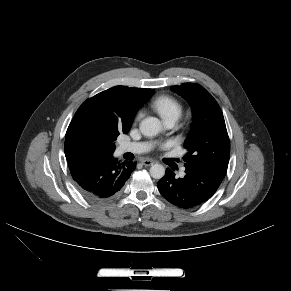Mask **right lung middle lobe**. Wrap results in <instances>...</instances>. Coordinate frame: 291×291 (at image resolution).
I'll list each match as a JSON object with an SVG mask.
<instances>
[{"label":"right lung middle lobe","instance_id":"obj_1","mask_svg":"<svg viewBox=\"0 0 291 291\" xmlns=\"http://www.w3.org/2000/svg\"><path fill=\"white\" fill-rule=\"evenodd\" d=\"M76 136L83 147L90 153H113L119 131L108 125L88 121L75 129Z\"/></svg>","mask_w":291,"mask_h":291}]
</instances>
